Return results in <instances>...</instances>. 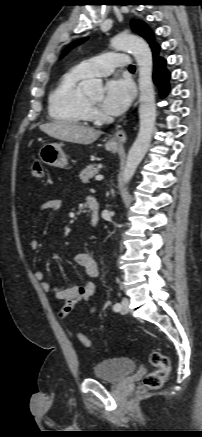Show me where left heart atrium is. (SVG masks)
Listing matches in <instances>:
<instances>
[{
    "label": "left heart atrium",
    "instance_id": "obj_1",
    "mask_svg": "<svg viewBox=\"0 0 202 437\" xmlns=\"http://www.w3.org/2000/svg\"><path fill=\"white\" fill-rule=\"evenodd\" d=\"M133 86L126 79H111L105 87L101 105L105 112L111 115L121 114L133 98Z\"/></svg>",
    "mask_w": 202,
    "mask_h": 437
}]
</instances>
